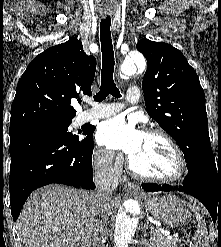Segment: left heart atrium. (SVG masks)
Wrapping results in <instances>:
<instances>
[{
  "label": "left heart atrium",
  "mask_w": 221,
  "mask_h": 247,
  "mask_svg": "<svg viewBox=\"0 0 221 247\" xmlns=\"http://www.w3.org/2000/svg\"><path fill=\"white\" fill-rule=\"evenodd\" d=\"M144 132L118 116L101 123L96 139L99 144L109 149L120 150L129 157L137 150Z\"/></svg>",
  "instance_id": "39dd6f15"
}]
</instances>
